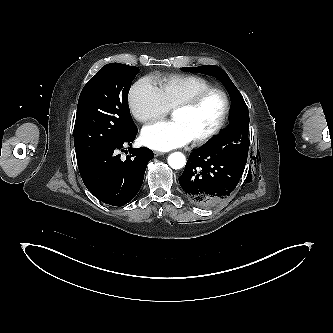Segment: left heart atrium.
I'll list each match as a JSON object with an SVG mask.
<instances>
[{"mask_svg":"<svg viewBox=\"0 0 333 333\" xmlns=\"http://www.w3.org/2000/svg\"><path fill=\"white\" fill-rule=\"evenodd\" d=\"M143 144L151 149L168 151L192 141L184 126L177 121L157 122L143 128Z\"/></svg>","mask_w":333,"mask_h":333,"instance_id":"left-heart-atrium-1","label":"left heart atrium"}]
</instances>
